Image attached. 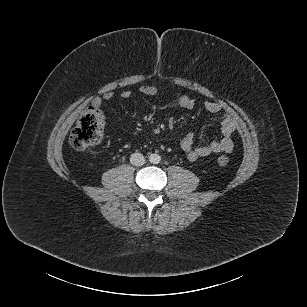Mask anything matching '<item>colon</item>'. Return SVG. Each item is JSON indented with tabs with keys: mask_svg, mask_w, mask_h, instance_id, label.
Wrapping results in <instances>:
<instances>
[{
	"mask_svg": "<svg viewBox=\"0 0 307 307\" xmlns=\"http://www.w3.org/2000/svg\"><path fill=\"white\" fill-rule=\"evenodd\" d=\"M104 121L93 106L85 109L70 133V144L77 151H87L97 146L103 139ZM219 166L225 167L229 159L225 155L218 157Z\"/></svg>",
	"mask_w": 307,
	"mask_h": 307,
	"instance_id": "obj_1",
	"label": "colon"
}]
</instances>
